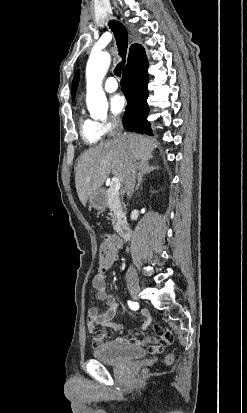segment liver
Returning <instances> with one entry per match:
<instances>
[{
	"mask_svg": "<svg viewBox=\"0 0 247 413\" xmlns=\"http://www.w3.org/2000/svg\"><path fill=\"white\" fill-rule=\"evenodd\" d=\"M126 140L115 142L113 138L100 142L98 146H91L79 156L75 166V184L79 200L82 204L87 202L88 196L101 188L110 172L124 182L125 166L128 158L126 146H133L136 162L152 158V150L158 146L155 138L142 136L130 132Z\"/></svg>",
	"mask_w": 247,
	"mask_h": 413,
	"instance_id": "obj_1",
	"label": "liver"
}]
</instances>
